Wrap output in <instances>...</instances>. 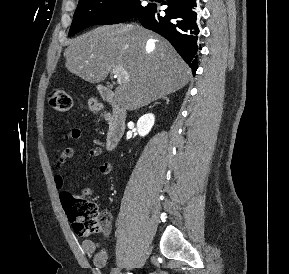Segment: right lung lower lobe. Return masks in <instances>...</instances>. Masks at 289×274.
Instances as JSON below:
<instances>
[{"label": "right lung lower lobe", "instance_id": "obj_1", "mask_svg": "<svg viewBox=\"0 0 289 274\" xmlns=\"http://www.w3.org/2000/svg\"><path fill=\"white\" fill-rule=\"evenodd\" d=\"M161 5H167L164 16H160L157 4L151 3L137 18L145 28L165 37L195 74L199 49L197 0H164Z\"/></svg>", "mask_w": 289, "mask_h": 274}]
</instances>
